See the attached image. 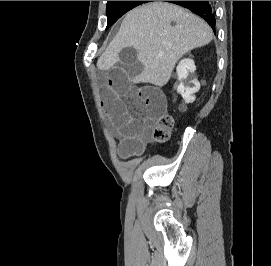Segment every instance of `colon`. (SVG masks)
Listing matches in <instances>:
<instances>
[{
	"label": "colon",
	"mask_w": 271,
	"mask_h": 266,
	"mask_svg": "<svg viewBox=\"0 0 271 266\" xmlns=\"http://www.w3.org/2000/svg\"><path fill=\"white\" fill-rule=\"evenodd\" d=\"M174 127V118L170 114L162 115L154 127L153 138L158 142L167 141L170 138Z\"/></svg>",
	"instance_id": "1"
}]
</instances>
